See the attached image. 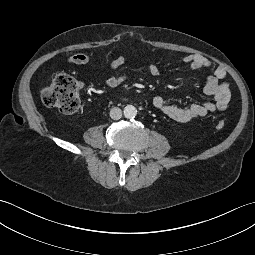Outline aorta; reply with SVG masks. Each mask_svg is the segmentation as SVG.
<instances>
[{"instance_id": "obj_1", "label": "aorta", "mask_w": 255, "mask_h": 255, "mask_svg": "<svg viewBox=\"0 0 255 255\" xmlns=\"http://www.w3.org/2000/svg\"><path fill=\"white\" fill-rule=\"evenodd\" d=\"M124 116L126 118H135V116L137 115V109L133 106V105H127L125 108H124Z\"/></svg>"}]
</instances>
